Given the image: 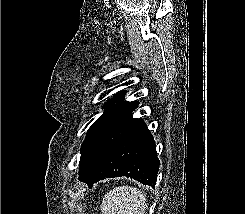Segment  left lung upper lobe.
<instances>
[{
  "mask_svg": "<svg viewBox=\"0 0 245 214\" xmlns=\"http://www.w3.org/2000/svg\"><path fill=\"white\" fill-rule=\"evenodd\" d=\"M123 94V93H122ZM139 104L138 101H124L121 94L105 103V112L92 124L81 147V153L112 123Z\"/></svg>",
  "mask_w": 245,
  "mask_h": 214,
  "instance_id": "obj_1",
  "label": "left lung upper lobe"
}]
</instances>
